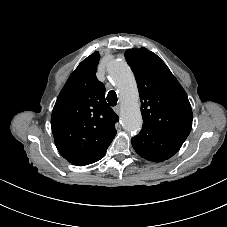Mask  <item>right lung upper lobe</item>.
Here are the masks:
<instances>
[{
  "mask_svg": "<svg viewBox=\"0 0 227 227\" xmlns=\"http://www.w3.org/2000/svg\"><path fill=\"white\" fill-rule=\"evenodd\" d=\"M99 53L84 59L59 93L51 128L59 153L71 164L85 166L104 157L116 135L118 116L105 100L96 77Z\"/></svg>",
  "mask_w": 227,
  "mask_h": 227,
  "instance_id": "obj_1",
  "label": "right lung upper lobe"
}]
</instances>
